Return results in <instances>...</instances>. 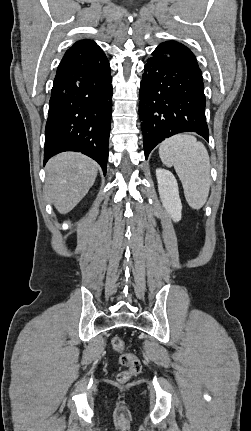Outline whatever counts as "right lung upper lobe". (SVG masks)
Wrapping results in <instances>:
<instances>
[{
  "mask_svg": "<svg viewBox=\"0 0 251 431\" xmlns=\"http://www.w3.org/2000/svg\"><path fill=\"white\" fill-rule=\"evenodd\" d=\"M88 45H96L95 42H93L92 40H80L78 42H76L75 44H73L72 47H70V49H75V48H82Z\"/></svg>",
  "mask_w": 251,
  "mask_h": 431,
  "instance_id": "right-lung-upper-lobe-1",
  "label": "right lung upper lobe"
}]
</instances>
